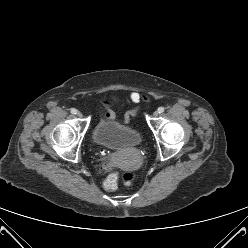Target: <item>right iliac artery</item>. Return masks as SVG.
Returning <instances> with one entry per match:
<instances>
[{
	"label": "right iliac artery",
	"mask_w": 248,
	"mask_h": 248,
	"mask_svg": "<svg viewBox=\"0 0 248 248\" xmlns=\"http://www.w3.org/2000/svg\"><path fill=\"white\" fill-rule=\"evenodd\" d=\"M71 113H72V114H76V113H77V110H76L75 108H72V109H71Z\"/></svg>",
	"instance_id": "1"
}]
</instances>
